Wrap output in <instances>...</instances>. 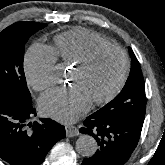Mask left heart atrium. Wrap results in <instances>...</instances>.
Here are the masks:
<instances>
[{"instance_id":"1","label":"left heart atrium","mask_w":165,"mask_h":165,"mask_svg":"<svg viewBox=\"0 0 165 165\" xmlns=\"http://www.w3.org/2000/svg\"><path fill=\"white\" fill-rule=\"evenodd\" d=\"M91 101L78 87L55 88L43 94L39 105L44 114L59 122H73L90 107Z\"/></svg>"}]
</instances>
